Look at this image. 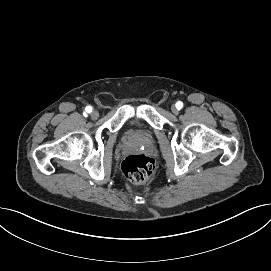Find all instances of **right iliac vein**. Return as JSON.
Listing matches in <instances>:
<instances>
[{
    "instance_id": "right-iliac-vein-1",
    "label": "right iliac vein",
    "mask_w": 271,
    "mask_h": 271,
    "mask_svg": "<svg viewBox=\"0 0 271 271\" xmlns=\"http://www.w3.org/2000/svg\"><path fill=\"white\" fill-rule=\"evenodd\" d=\"M90 115L93 120H95L99 117V113L96 110H93Z\"/></svg>"
}]
</instances>
